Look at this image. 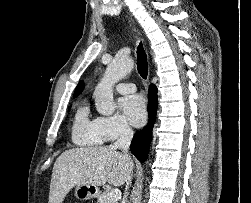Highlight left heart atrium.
Here are the masks:
<instances>
[{"instance_id": "1", "label": "left heart atrium", "mask_w": 251, "mask_h": 203, "mask_svg": "<svg viewBox=\"0 0 251 203\" xmlns=\"http://www.w3.org/2000/svg\"><path fill=\"white\" fill-rule=\"evenodd\" d=\"M120 107L134 126H141L146 120V106L139 95H130L121 99Z\"/></svg>"}]
</instances>
